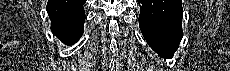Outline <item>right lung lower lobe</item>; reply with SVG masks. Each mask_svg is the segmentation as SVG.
Segmentation results:
<instances>
[{
	"mask_svg": "<svg viewBox=\"0 0 230 71\" xmlns=\"http://www.w3.org/2000/svg\"><path fill=\"white\" fill-rule=\"evenodd\" d=\"M86 0H48L52 32L65 44H74L83 34Z\"/></svg>",
	"mask_w": 230,
	"mask_h": 71,
	"instance_id": "98d812e1",
	"label": "right lung lower lobe"
}]
</instances>
